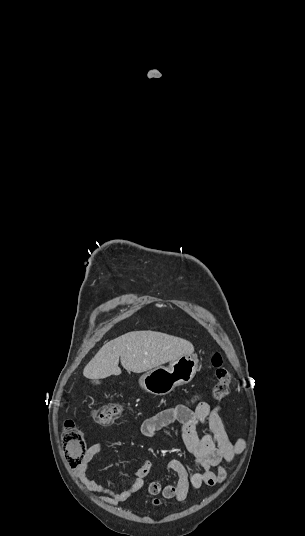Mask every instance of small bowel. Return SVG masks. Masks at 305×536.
<instances>
[{
	"label": "small bowel",
	"instance_id": "small-bowel-1",
	"mask_svg": "<svg viewBox=\"0 0 305 536\" xmlns=\"http://www.w3.org/2000/svg\"><path fill=\"white\" fill-rule=\"evenodd\" d=\"M222 408L220 405L211 407L208 402L195 398L188 404L166 408L143 421L141 433L148 438L154 437L157 432L172 423L181 424L184 443L194 456L196 464L203 469L200 473L189 475L180 460L170 459L166 462V467L176 473V484L164 486L159 481L151 482L146 488L148 495H179L182 502L187 499L190 488L198 490L203 486L213 487L225 479L226 470L223 463L230 462L240 453L244 443L242 440L234 444L231 442L221 418ZM103 449L104 445L100 443L88 447L76 467V474L81 478L85 488L96 494L102 503L118 505L143 488L152 461L143 458L140 466L134 471V482L127 489L116 491L87 475L93 458Z\"/></svg>",
	"mask_w": 305,
	"mask_h": 536
}]
</instances>
